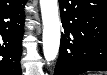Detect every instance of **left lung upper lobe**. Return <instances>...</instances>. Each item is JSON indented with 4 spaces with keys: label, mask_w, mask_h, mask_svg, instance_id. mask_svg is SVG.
Listing matches in <instances>:
<instances>
[{
    "label": "left lung upper lobe",
    "mask_w": 107,
    "mask_h": 75,
    "mask_svg": "<svg viewBox=\"0 0 107 75\" xmlns=\"http://www.w3.org/2000/svg\"><path fill=\"white\" fill-rule=\"evenodd\" d=\"M75 21L72 23L69 22L68 30L66 32V37L68 39L78 40L81 36L84 35V24L78 16L75 15Z\"/></svg>",
    "instance_id": "5c2ea615"
}]
</instances>
